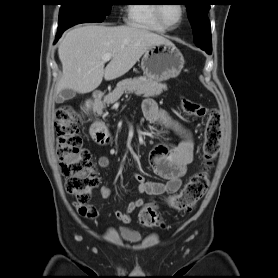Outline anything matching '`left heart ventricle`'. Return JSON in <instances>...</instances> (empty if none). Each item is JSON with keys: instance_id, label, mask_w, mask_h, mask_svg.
<instances>
[{"instance_id": "left-heart-ventricle-1", "label": "left heart ventricle", "mask_w": 278, "mask_h": 278, "mask_svg": "<svg viewBox=\"0 0 278 278\" xmlns=\"http://www.w3.org/2000/svg\"><path fill=\"white\" fill-rule=\"evenodd\" d=\"M162 15L167 23L175 25L181 17V7L178 4L163 5Z\"/></svg>"}]
</instances>
